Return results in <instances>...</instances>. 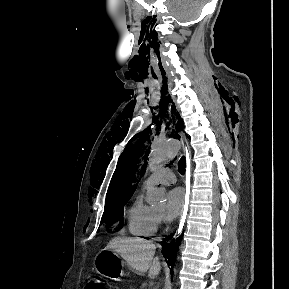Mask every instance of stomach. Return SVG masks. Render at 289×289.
Here are the masks:
<instances>
[{
	"mask_svg": "<svg viewBox=\"0 0 289 289\" xmlns=\"http://www.w3.org/2000/svg\"><path fill=\"white\" fill-rule=\"evenodd\" d=\"M119 255L113 250H101L95 258V270L98 274L117 280L123 275Z\"/></svg>",
	"mask_w": 289,
	"mask_h": 289,
	"instance_id": "0dacf381",
	"label": "stomach"
}]
</instances>
